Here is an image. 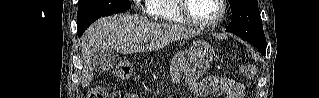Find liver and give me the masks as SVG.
Segmentation results:
<instances>
[{"instance_id": "obj_1", "label": "liver", "mask_w": 319, "mask_h": 98, "mask_svg": "<svg viewBox=\"0 0 319 98\" xmlns=\"http://www.w3.org/2000/svg\"><path fill=\"white\" fill-rule=\"evenodd\" d=\"M199 34V31L184 26L158 24L128 13L101 18L81 38L82 87H87L93 80L92 58L99 50H115L122 54L148 52ZM150 38L149 45L142 44Z\"/></svg>"}]
</instances>
